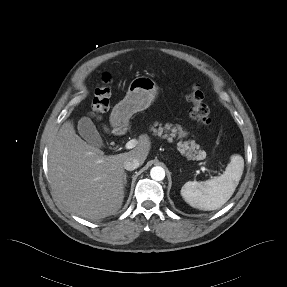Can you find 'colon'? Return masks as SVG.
Wrapping results in <instances>:
<instances>
[{"instance_id":"colon-1","label":"colon","mask_w":287,"mask_h":287,"mask_svg":"<svg viewBox=\"0 0 287 287\" xmlns=\"http://www.w3.org/2000/svg\"><path fill=\"white\" fill-rule=\"evenodd\" d=\"M109 78L96 88L92 103V115L96 118L106 113L110 107L111 90L108 86ZM187 100L190 103V116L202 126L211 124L210 109L204 101V94L198 85H192L187 94Z\"/></svg>"}]
</instances>
